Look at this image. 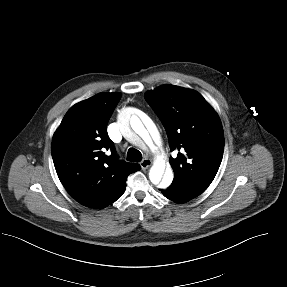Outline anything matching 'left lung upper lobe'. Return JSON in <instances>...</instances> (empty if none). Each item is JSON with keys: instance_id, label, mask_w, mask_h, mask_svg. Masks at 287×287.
Returning a JSON list of instances; mask_svg holds the SVG:
<instances>
[{"instance_id": "5c2ea615", "label": "left lung upper lobe", "mask_w": 287, "mask_h": 287, "mask_svg": "<svg viewBox=\"0 0 287 287\" xmlns=\"http://www.w3.org/2000/svg\"><path fill=\"white\" fill-rule=\"evenodd\" d=\"M161 120L171 151L173 183L200 195L213 181L224 150V133L218 114L196 91L163 85L145 94Z\"/></svg>"}]
</instances>
